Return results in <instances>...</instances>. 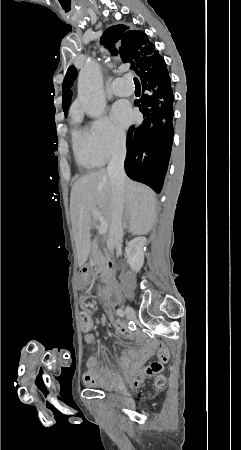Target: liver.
<instances>
[{
    "label": "liver",
    "mask_w": 241,
    "mask_h": 450,
    "mask_svg": "<svg viewBox=\"0 0 241 450\" xmlns=\"http://www.w3.org/2000/svg\"><path fill=\"white\" fill-rule=\"evenodd\" d=\"M156 194L143 184L125 178L124 214L128 220V232L142 236L154 226ZM71 222L79 268L85 266L93 248L90 230L94 220L104 218L108 226L112 222L113 194L107 170L86 174L74 182L70 196Z\"/></svg>",
    "instance_id": "1"
}]
</instances>
